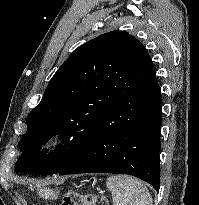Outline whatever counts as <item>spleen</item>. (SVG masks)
<instances>
[{
  "label": "spleen",
  "mask_w": 199,
  "mask_h": 205,
  "mask_svg": "<svg viewBox=\"0 0 199 205\" xmlns=\"http://www.w3.org/2000/svg\"><path fill=\"white\" fill-rule=\"evenodd\" d=\"M106 184L115 205H153L148 188L136 178L114 175L107 178Z\"/></svg>",
  "instance_id": "1"
}]
</instances>
